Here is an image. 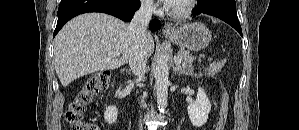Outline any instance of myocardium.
Masks as SVG:
<instances>
[{"label":"myocardium","instance_id":"f54148a6","mask_svg":"<svg viewBox=\"0 0 299 130\" xmlns=\"http://www.w3.org/2000/svg\"><path fill=\"white\" fill-rule=\"evenodd\" d=\"M196 2L195 0H185L180 5L170 6L169 13L175 19H184L191 14Z\"/></svg>","mask_w":299,"mask_h":130}]
</instances>
